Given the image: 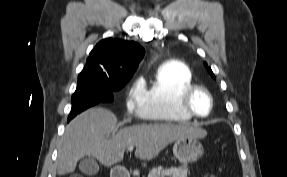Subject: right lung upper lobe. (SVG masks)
Returning <instances> with one entry per match:
<instances>
[{
  "mask_svg": "<svg viewBox=\"0 0 287 177\" xmlns=\"http://www.w3.org/2000/svg\"><path fill=\"white\" fill-rule=\"evenodd\" d=\"M144 53L134 41L106 38L90 52L82 72L91 74L107 86L130 80Z\"/></svg>",
  "mask_w": 287,
  "mask_h": 177,
  "instance_id": "1",
  "label": "right lung upper lobe"
}]
</instances>
